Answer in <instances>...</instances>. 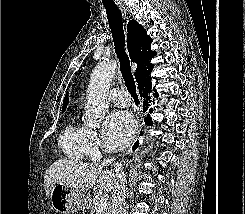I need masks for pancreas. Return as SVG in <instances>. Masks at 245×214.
<instances>
[{
    "instance_id": "obj_1",
    "label": "pancreas",
    "mask_w": 245,
    "mask_h": 214,
    "mask_svg": "<svg viewBox=\"0 0 245 214\" xmlns=\"http://www.w3.org/2000/svg\"><path fill=\"white\" fill-rule=\"evenodd\" d=\"M103 197V195H96L94 197V199L91 201L90 205H89V209H90V214H95L97 207L99 205V201L100 199ZM102 214H111V207L110 205H107L103 210H102Z\"/></svg>"
}]
</instances>
